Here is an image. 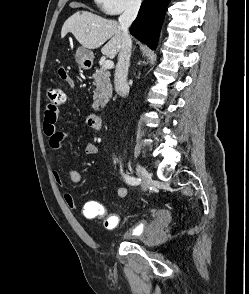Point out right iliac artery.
Masks as SVG:
<instances>
[{"label": "right iliac artery", "mask_w": 249, "mask_h": 294, "mask_svg": "<svg viewBox=\"0 0 249 294\" xmlns=\"http://www.w3.org/2000/svg\"><path fill=\"white\" fill-rule=\"evenodd\" d=\"M124 179H125L126 183H128L130 185H139L141 183L140 178L131 177L127 174H124Z\"/></svg>", "instance_id": "obj_1"}]
</instances>
